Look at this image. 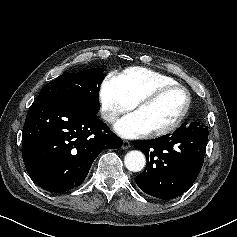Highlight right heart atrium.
<instances>
[{
  "label": "right heart atrium",
  "instance_id": "obj_1",
  "mask_svg": "<svg viewBox=\"0 0 237 237\" xmlns=\"http://www.w3.org/2000/svg\"><path fill=\"white\" fill-rule=\"evenodd\" d=\"M100 114L107 123H114L125 112L132 109L130 102L113 76L106 77L99 87Z\"/></svg>",
  "mask_w": 237,
  "mask_h": 237
}]
</instances>
